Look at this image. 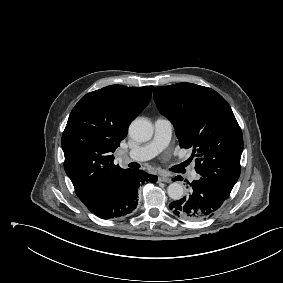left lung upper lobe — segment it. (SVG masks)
Instances as JSON below:
<instances>
[{
  "instance_id": "5c2ea615",
  "label": "left lung upper lobe",
  "mask_w": 283,
  "mask_h": 283,
  "mask_svg": "<svg viewBox=\"0 0 283 283\" xmlns=\"http://www.w3.org/2000/svg\"><path fill=\"white\" fill-rule=\"evenodd\" d=\"M153 96L173 123L180 147L193 149L196 172L233 188L241 171L243 136L226 100L192 83L155 87Z\"/></svg>"
}]
</instances>
